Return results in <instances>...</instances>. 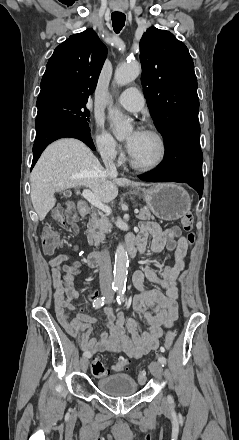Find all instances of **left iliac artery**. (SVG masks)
<instances>
[{
	"label": "left iliac artery",
	"instance_id": "obj_1",
	"mask_svg": "<svg viewBox=\"0 0 239 440\" xmlns=\"http://www.w3.org/2000/svg\"><path fill=\"white\" fill-rule=\"evenodd\" d=\"M124 292H125V287H120L119 291H118V296H117V302L118 304H121L124 301ZM158 362L164 366L166 365V358L165 357H159L158 358ZM168 400L171 402L172 401V397L169 396Z\"/></svg>",
	"mask_w": 239,
	"mask_h": 440
}]
</instances>
